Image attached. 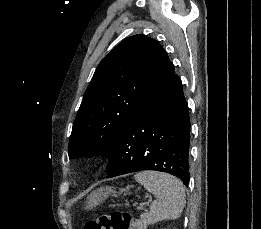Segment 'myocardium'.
Instances as JSON below:
<instances>
[{"label":"myocardium","instance_id":"myocardium-1","mask_svg":"<svg viewBox=\"0 0 261 229\" xmlns=\"http://www.w3.org/2000/svg\"><path fill=\"white\" fill-rule=\"evenodd\" d=\"M86 162H87L88 165H91L93 163V159L92 158H88Z\"/></svg>","mask_w":261,"mask_h":229}]
</instances>
